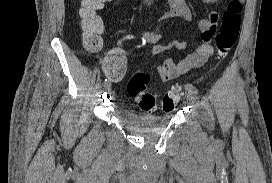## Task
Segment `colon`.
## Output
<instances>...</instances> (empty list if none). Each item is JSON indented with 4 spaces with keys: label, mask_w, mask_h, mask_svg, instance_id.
<instances>
[{
    "label": "colon",
    "mask_w": 272,
    "mask_h": 183,
    "mask_svg": "<svg viewBox=\"0 0 272 183\" xmlns=\"http://www.w3.org/2000/svg\"><path fill=\"white\" fill-rule=\"evenodd\" d=\"M106 0H81L79 16L83 29V43L87 50L96 51L102 45L101 33L103 30L101 19L96 11ZM242 0H231L223 14L219 30L214 31L217 48V57L225 58L235 45L240 31ZM150 74L144 71L136 72L130 78L127 91L135 99L139 107L145 111H152L156 107V98L148 90ZM181 88L173 86L162 98L161 107L165 112L175 109L181 98Z\"/></svg>",
    "instance_id": "5ec220e1"
}]
</instances>
